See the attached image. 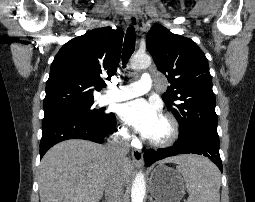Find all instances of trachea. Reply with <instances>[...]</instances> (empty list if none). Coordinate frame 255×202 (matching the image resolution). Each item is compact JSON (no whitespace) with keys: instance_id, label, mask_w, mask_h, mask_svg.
Wrapping results in <instances>:
<instances>
[{"instance_id":"3493384b","label":"trachea","mask_w":255,"mask_h":202,"mask_svg":"<svg viewBox=\"0 0 255 202\" xmlns=\"http://www.w3.org/2000/svg\"><path fill=\"white\" fill-rule=\"evenodd\" d=\"M135 49V29L133 26L128 27L127 33L124 39L123 51H122V62L123 67L128 63L132 53Z\"/></svg>"}]
</instances>
